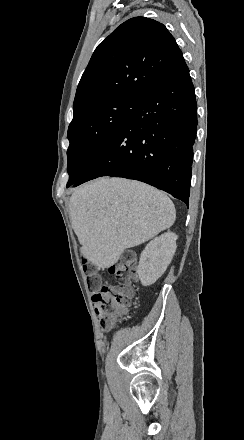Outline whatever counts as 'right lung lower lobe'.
I'll use <instances>...</instances> for the list:
<instances>
[{
  "instance_id": "obj_1",
  "label": "right lung lower lobe",
  "mask_w": 244,
  "mask_h": 440,
  "mask_svg": "<svg viewBox=\"0 0 244 440\" xmlns=\"http://www.w3.org/2000/svg\"><path fill=\"white\" fill-rule=\"evenodd\" d=\"M196 128L194 86L182 63L146 91L73 186L101 176L135 179L188 206Z\"/></svg>"
}]
</instances>
